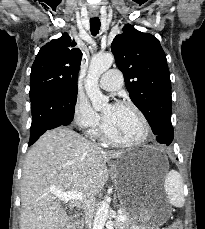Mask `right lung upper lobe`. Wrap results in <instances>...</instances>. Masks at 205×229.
I'll return each instance as SVG.
<instances>
[{"instance_id":"obj_1","label":"right lung upper lobe","mask_w":205,"mask_h":229,"mask_svg":"<svg viewBox=\"0 0 205 229\" xmlns=\"http://www.w3.org/2000/svg\"><path fill=\"white\" fill-rule=\"evenodd\" d=\"M65 33L44 45L32 65L30 76V99L52 91H67L68 86L77 87V76L82 52Z\"/></svg>"}]
</instances>
